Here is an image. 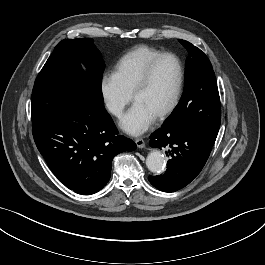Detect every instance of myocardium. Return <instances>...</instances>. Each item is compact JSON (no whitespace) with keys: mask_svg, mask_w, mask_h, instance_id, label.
Here are the masks:
<instances>
[{"mask_svg":"<svg viewBox=\"0 0 265 265\" xmlns=\"http://www.w3.org/2000/svg\"><path fill=\"white\" fill-rule=\"evenodd\" d=\"M165 58H172L176 62L178 68V80L174 96L170 104L155 117L157 120H161L169 116L176 109L181 99L184 85V68L180 59L173 53H161L153 58L142 71L131 93V100L134 101L135 97L139 93H141L148 85L152 72L156 65Z\"/></svg>","mask_w":265,"mask_h":265,"instance_id":"f54148a6","label":"myocardium"}]
</instances>
